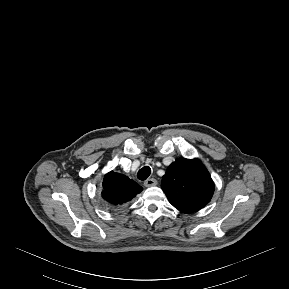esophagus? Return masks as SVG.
Segmentation results:
<instances>
[{
  "mask_svg": "<svg viewBox=\"0 0 289 289\" xmlns=\"http://www.w3.org/2000/svg\"><path fill=\"white\" fill-rule=\"evenodd\" d=\"M156 184H157V180L154 178H148L147 180L144 181V185L146 187L155 186Z\"/></svg>",
  "mask_w": 289,
  "mask_h": 289,
  "instance_id": "1",
  "label": "esophagus"
}]
</instances>
